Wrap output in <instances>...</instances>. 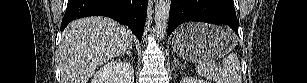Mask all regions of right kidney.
Returning <instances> with one entry per match:
<instances>
[{
	"instance_id": "obj_1",
	"label": "right kidney",
	"mask_w": 307,
	"mask_h": 83,
	"mask_svg": "<svg viewBox=\"0 0 307 83\" xmlns=\"http://www.w3.org/2000/svg\"><path fill=\"white\" fill-rule=\"evenodd\" d=\"M134 69L125 61H111L102 66L91 83H133Z\"/></svg>"
}]
</instances>
